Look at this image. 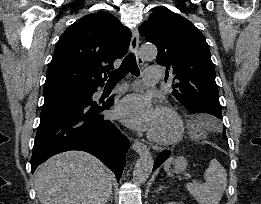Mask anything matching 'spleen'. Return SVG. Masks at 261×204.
Instances as JSON below:
<instances>
[{
  "label": "spleen",
  "mask_w": 261,
  "mask_h": 204,
  "mask_svg": "<svg viewBox=\"0 0 261 204\" xmlns=\"http://www.w3.org/2000/svg\"><path fill=\"white\" fill-rule=\"evenodd\" d=\"M191 134L195 139L206 138V132L200 126L191 128ZM172 161L173 158H169L164 165L168 173ZM204 178L203 184L188 183L187 190L199 204H219L227 186L226 170L216 159H212L204 173Z\"/></svg>",
  "instance_id": "obj_1"
}]
</instances>
